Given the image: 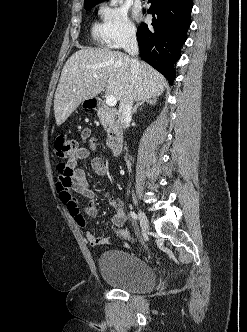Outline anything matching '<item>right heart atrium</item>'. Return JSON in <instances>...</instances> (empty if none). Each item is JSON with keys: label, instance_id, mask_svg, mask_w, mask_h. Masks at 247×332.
<instances>
[{"label": "right heart atrium", "instance_id": "right-heart-atrium-1", "mask_svg": "<svg viewBox=\"0 0 247 332\" xmlns=\"http://www.w3.org/2000/svg\"><path fill=\"white\" fill-rule=\"evenodd\" d=\"M102 28L107 45L120 48L135 38L136 28L128 11L118 0H109L100 7Z\"/></svg>", "mask_w": 247, "mask_h": 332}]
</instances>
